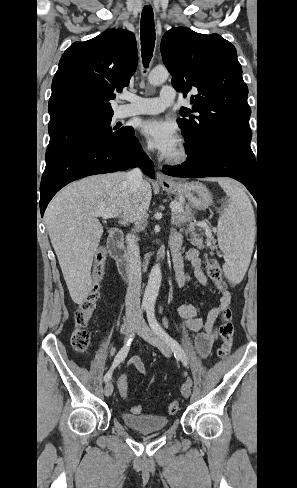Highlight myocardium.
I'll use <instances>...</instances> for the list:
<instances>
[{
	"mask_svg": "<svg viewBox=\"0 0 297 488\" xmlns=\"http://www.w3.org/2000/svg\"><path fill=\"white\" fill-rule=\"evenodd\" d=\"M189 155L188 145L182 140L178 145L177 152L174 155L169 156L166 159V162L170 165H181L188 160Z\"/></svg>",
	"mask_w": 297,
	"mask_h": 488,
	"instance_id": "myocardium-1",
	"label": "myocardium"
}]
</instances>
